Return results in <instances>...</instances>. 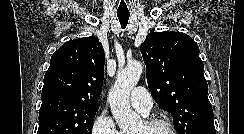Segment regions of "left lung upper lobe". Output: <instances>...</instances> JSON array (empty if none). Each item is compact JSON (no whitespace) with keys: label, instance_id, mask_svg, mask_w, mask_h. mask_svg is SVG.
Here are the masks:
<instances>
[{"label":"left lung upper lobe","instance_id":"obj_1","mask_svg":"<svg viewBox=\"0 0 244 134\" xmlns=\"http://www.w3.org/2000/svg\"><path fill=\"white\" fill-rule=\"evenodd\" d=\"M147 83L179 134L216 133L197 43L180 32H151L141 45Z\"/></svg>","mask_w":244,"mask_h":134}]
</instances>
